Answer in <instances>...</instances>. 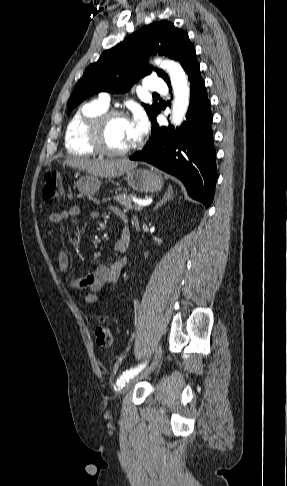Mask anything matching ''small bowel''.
<instances>
[{
    "mask_svg": "<svg viewBox=\"0 0 287 486\" xmlns=\"http://www.w3.org/2000/svg\"><path fill=\"white\" fill-rule=\"evenodd\" d=\"M111 211L123 222L127 221L126 215L119 208L111 207ZM80 214L81 209L78 206H72L61 212L49 214L47 219L52 224L61 225L72 218L80 216ZM88 216L91 219H97L100 217V213L91 211ZM130 237L129 228L124 227L115 245V250L119 254L118 258L109 265H99L93 272L80 278H73L70 271L68 253L65 249L60 248L57 253V261L61 271L63 286L73 292L87 289L88 292L84 295V300L87 303L97 302L100 298L113 293L120 281L121 272L127 263L126 253L130 244Z\"/></svg>",
    "mask_w": 287,
    "mask_h": 486,
    "instance_id": "small-bowel-1",
    "label": "small bowel"
}]
</instances>
